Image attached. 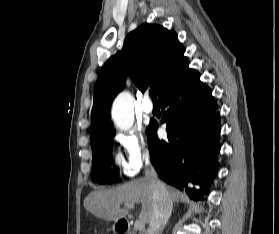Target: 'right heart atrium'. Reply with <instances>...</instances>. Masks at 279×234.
<instances>
[{
  "label": "right heart atrium",
  "mask_w": 279,
  "mask_h": 234,
  "mask_svg": "<svg viewBox=\"0 0 279 234\" xmlns=\"http://www.w3.org/2000/svg\"><path fill=\"white\" fill-rule=\"evenodd\" d=\"M122 150L121 164L127 176L136 175L141 168L149 163L151 149L144 135L130 129L117 136Z\"/></svg>",
  "instance_id": "d8ad5b80"
}]
</instances>
